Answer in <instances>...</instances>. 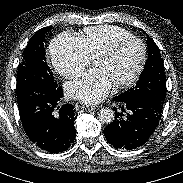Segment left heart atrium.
<instances>
[{
    "instance_id": "39dd6f15",
    "label": "left heart atrium",
    "mask_w": 183,
    "mask_h": 183,
    "mask_svg": "<svg viewBox=\"0 0 183 183\" xmlns=\"http://www.w3.org/2000/svg\"><path fill=\"white\" fill-rule=\"evenodd\" d=\"M112 83L100 69H93L69 82L66 91L74 99L84 103H97L110 91Z\"/></svg>"
}]
</instances>
